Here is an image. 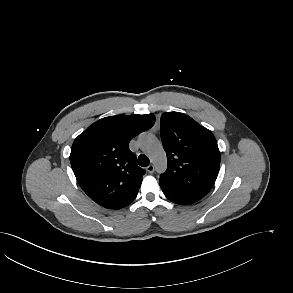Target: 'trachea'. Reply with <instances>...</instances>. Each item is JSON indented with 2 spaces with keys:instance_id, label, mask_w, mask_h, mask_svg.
Masks as SVG:
<instances>
[{
  "instance_id": "obj_1",
  "label": "trachea",
  "mask_w": 293,
  "mask_h": 293,
  "mask_svg": "<svg viewBox=\"0 0 293 293\" xmlns=\"http://www.w3.org/2000/svg\"><path fill=\"white\" fill-rule=\"evenodd\" d=\"M150 163L149 158L144 155V154H140L138 157V164L142 167H146L148 166Z\"/></svg>"
}]
</instances>
